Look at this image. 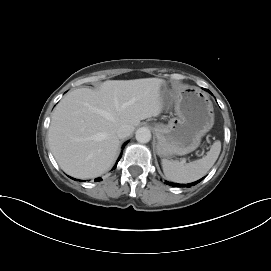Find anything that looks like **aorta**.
Wrapping results in <instances>:
<instances>
[{"instance_id":"aorta-1","label":"aorta","mask_w":271,"mask_h":271,"mask_svg":"<svg viewBox=\"0 0 271 271\" xmlns=\"http://www.w3.org/2000/svg\"><path fill=\"white\" fill-rule=\"evenodd\" d=\"M136 140L139 143H148L151 140V132L146 127H141L136 131Z\"/></svg>"}]
</instances>
